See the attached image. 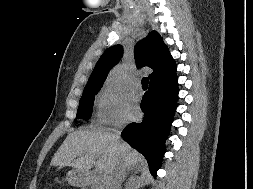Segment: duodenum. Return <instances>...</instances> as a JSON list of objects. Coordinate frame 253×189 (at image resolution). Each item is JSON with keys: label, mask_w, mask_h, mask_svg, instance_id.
I'll list each match as a JSON object with an SVG mask.
<instances>
[{"label": "duodenum", "mask_w": 253, "mask_h": 189, "mask_svg": "<svg viewBox=\"0 0 253 189\" xmlns=\"http://www.w3.org/2000/svg\"><path fill=\"white\" fill-rule=\"evenodd\" d=\"M95 177H96V174L94 172L90 171V172H87L85 174H80L79 175V180L83 181L85 183H88Z\"/></svg>", "instance_id": "obj_1"}]
</instances>
